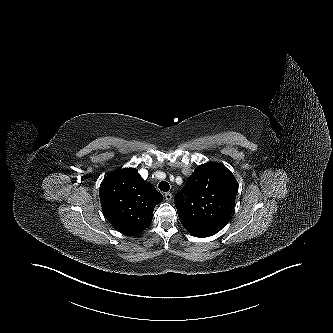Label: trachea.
<instances>
[{"label": "trachea", "instance_id": "3493384b", "mask_svg": "<svg viewBox=\"0 0 333 333\" xmlns=\"http://www.w3.org/2000/svg\"><path fill=\"white\" fill-rule=\"evenodd\" d=\"M159 189H160L161 191H163V192H167V191H169L170 186H169L168 182H166V181H161V182L159 183Z\"/></svg>", "mask_w": 333, "mask_h": 333}]
</instances>
